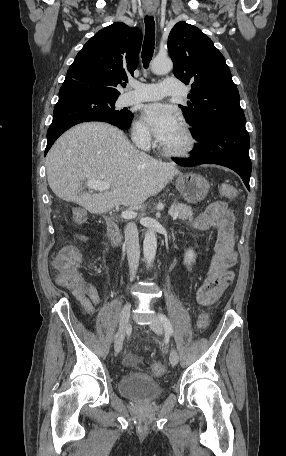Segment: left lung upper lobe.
Masks as SVG:
<instances>
[{
  "instance_id": "left-lung-upper-lobe-1",
  "label": "left lung upper lobe",
  "mask_w": 286,
  "mask_h": 456,
  "mask_svg": "<svg viewBox=\"0 0 286 456\" xmlns=\"http://www.w3.org/2000/svg\"><path fill=\"white\" fill-rule=\"evenodd\" d=\"M174 75L191 84V102L180 105L196 135L216 123L245 127L239 92L225 58L197 27L178 22L168 37Z\"/></svg>"
}]
</instances>
